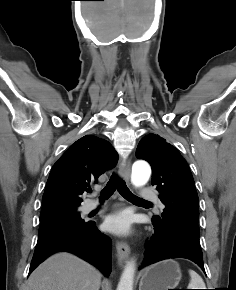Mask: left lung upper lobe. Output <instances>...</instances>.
<instances>
[{"label":"left lung upper lobe","instance_id":"5c2ea615","mask_svg":"<svg viewBox=\"0 0 236 290\" xmlns=\"http://www.w3.org/2000/svg\"><path fill=\"white\" fill-rule=\"evenodd\" d=\"M136 156L152 167L151 184L165 205L162 216L152 221L170 224L199 236L198 195L186 160L179 151L156 134H148L139 142Z\"/></svg>","mask_w":236,"mask_h":290}]
</instances>
